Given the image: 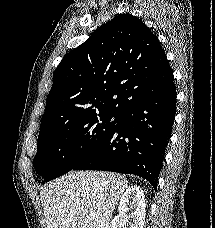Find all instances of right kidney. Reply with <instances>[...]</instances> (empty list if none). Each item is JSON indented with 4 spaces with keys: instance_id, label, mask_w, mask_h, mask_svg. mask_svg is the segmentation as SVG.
Returning <instances> with one entry per match:
<instances>
[{
    "instance_id": "right-kidney-1",
    "label": "right kidney",
    "mask_w": 215,
    "mask_h": 228,
    "mask_svg": "<svg viewBox=\"0 0 215 228\" xmlns=\"http://www.w3.org/2000/svg\"><path fill=\"white\" fill-rule=\"evenodd\" d=\"M127 212H131L129 216L132 218L131 228H143L146 218V202L144 192L139 186H130L124 192L118 204V214L110 222L109 228H123L128 222Z\"/></svg>"
}]
</instances>
